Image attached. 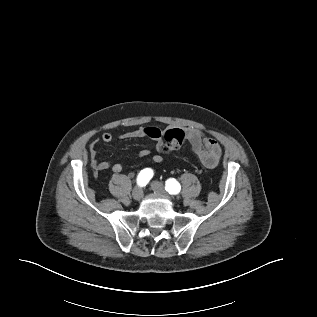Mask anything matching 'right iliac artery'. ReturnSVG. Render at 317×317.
<instances>
[{
  "mask_svg": "<svg viewBox=\"0 0 317 317\" xmlns=\"http://www.w3.org/2000/svg\"><path fill=\"white\" fill-rule=\"evenodd\" d=\"M154 173L151 168H145L140 171L137 176V184L142 187L145 186L149 180L153 177Z\"/></svg>",
  "mask_w": 317,
  "mask_h": 317,
  "instance_id": "1",
  "label": "right iliac artery"
}]
</instances>
